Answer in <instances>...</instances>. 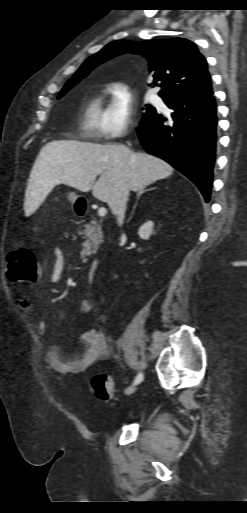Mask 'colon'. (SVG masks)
I'll use <instances>...</instances> for the list:
<instances>
[{
    "label": "colon",
    "mask_w": 247,
    "mask_h": 513,
    "mask_svg": "<svg viewBox=\"0 0 247 513\" xmlns=\"http://www.w3.org/2000/svg\"><path fill=\"white\" fill-rule=\"evenodd\" d=\"M6 278L12 284L33 283L39 276V266L35 255L27 246H20L9 253ZM91 387L97 398L108 400L114 392L111 378L104 373L96 374Z\"/></svg>",
    "instance_id": "obj_1"
}]
</instances>
